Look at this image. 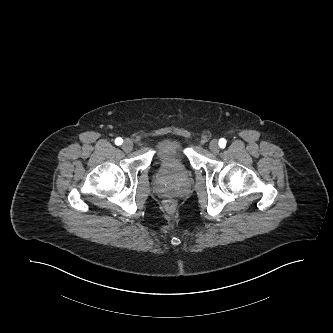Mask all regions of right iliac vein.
Returning a JSON list of instances; mask_svg holds the SVG:
<instances>
[{
	"instance_id": "right-iliac-vein-1",
	"label": "right iliac vein",
	"mask_w": 333,
	"mask_h": 333,
	"mask_svg": "<svg viewBox=\"0 0 333 333\" xmlns=\"http://www.w3.org/2000/svg\"><path fill=\"white\" fill-rule=\"evenodd\" d=\"M122 148L125 152H130L133 149V142L130 139H125Z\"/></svg>"
}]
</instances>
